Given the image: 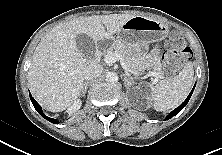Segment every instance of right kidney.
<instances>
[{
    "label": "right kidney",
    "instance_id": "obj_1",
    "mask_svg": "<svg viewBox=\"0 0 222 155\" xmlns=\"http://www.w3.org/2000/svg\"><path fill=\"white\" fill-rule=\"evenodd\" d=\"M82 105V101L80 99H77L74 101L73 105L68 109L69 112H73L75 110H78Z\"/></svg>",
    "mask_w": 222,
    "mask_h": 155
}]
</instances>
